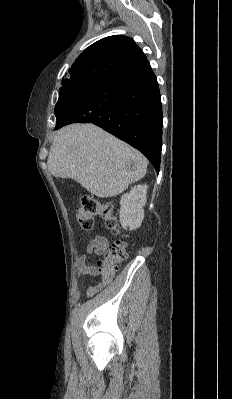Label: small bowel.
<instances>
[{"label": "small bowel", "instance_id": "1", "mask_svg": "<svg viewBox=\"0 0 232 399\" xmlns=\"http://www.w3.org/2000/svg\"><path fill=\"white\" fill-rule=\"evenodd\" d=\"M107 248L106 243H99L96 241H89L86 249V253L82 254L77 262L76 267V277H90L94 275V268L87 263V259L92 256H100L102 255ZM94 286L92 284H88L86 288L87 296L93 295Z\"/></svg>", "mask_w": 232, "mask_h": 399}]
</instances>
